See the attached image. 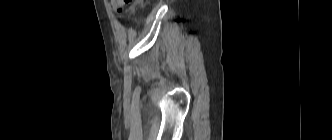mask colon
<instances>
[{
  "mask_svg": "<svg viewBox=\"0 0 332 140\" xmlns=\"http://www.w3.org/2000/svg\"><path fill=\"white\" fill-rule=\"evenodd\" d=\"M112 7L118 12L129 4L142 5L144 0H110Z\"/></svg>",
  "mask_w": 332,
  "mask_h": 140,
  "instance_id": "1",
  "label": "colon"
}]
</instances>
